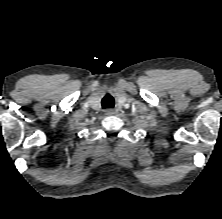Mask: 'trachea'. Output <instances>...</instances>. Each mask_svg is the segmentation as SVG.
Masks as SVG:
<instances>
[{
  "label": "trachea",
  "instance_id": "3493384b",
  "mask_svg": "<svg viewBox=\"0 0 222 219\" xmlns=\"http://www.w3.org/2000/svg\"><path fill=\"white\" fill-rule=\"evenodd\" d=\"M102 107L103 108H113L114 107V98L110 95H106L102 99Z\"/></svg>",
  "mask_w": 222,
  "mask_h": 219
}]
</instances>
